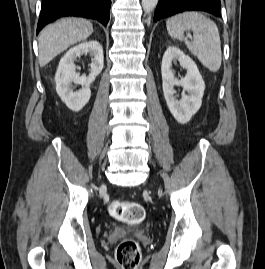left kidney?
<instances>
[{
  "label": "left kidney",
  "mask_w": 265,
  "mask_h": 269,
  "mask_svg": "<svg viewBox=\"0 0 265 269\" xmlns=\"http://www.w3.org/2000/svg\"><path fill=\"white\" fill-rule=\"evenodd\" d=\"M178 61L187 69L184 78L177 79L172 71V63ZM163 93L173 117L181 124L187 123L199 110L205 90V83L195 62L176 46H169L165 51L161 66ZM174 86H182L181 100L175 96Z\"/></svg>",
  "instance_id": "left-kidney-1"
}]
</instances>
